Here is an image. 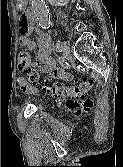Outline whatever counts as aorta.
I'll return each mask as SVG.
<instances>
[{
  "label": "aorta",
  "mask_w": 123,
  "mask_h": 167,
  "mask_svg": "<svg viewBox=\"0 0 123 167\" xmlns=\"http://www.w3.org/2000/svg\"><path fill=\"white\" fill-rule=\"evenodd\" d=\"M32 8L42 28L50 26V18L43 0H32Z\"/></svg>",
  "instance_id": "obj_1"
}]
</instances>
